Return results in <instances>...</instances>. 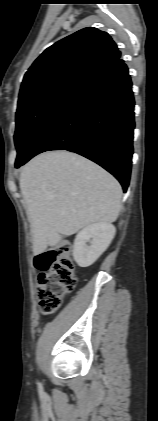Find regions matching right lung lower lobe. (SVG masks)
<instances>
[{
	"label": "right lung lower lobe",
	"mask_w": 158,
	"mask_h": 421,
	"mask_svg": "<svg viewBox=\"0 0 158 421\" xmlns=\"http://www.w3.org/2000/svg\"><path fill=\"white\" fill-rule=\"evenodd\" d=\"M134 127L132 82L127 65L119 58L83 85L41 133L19 167L39 153L65 149L105 168L126 192Z\"/></svg>",
	"instance_id": "1"
}]
</instances>
